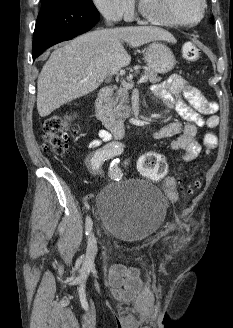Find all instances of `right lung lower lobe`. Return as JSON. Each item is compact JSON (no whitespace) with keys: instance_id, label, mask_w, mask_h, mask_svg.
Returning <instances> with one entry per match:
<instances>
[{"instance_id":"obj_1","label":"right lung lower lobe","mask_w":233,"mask_h":328,"mask_svg":"<svg viewBox=\"0 0 233 328\" xmlns=\"http://www.w3.org/2000/svg\"><path fill=\"white\" fill-rule=\"evenodd\" d=\"M98 20L96 7L42 2L34 30L33 59L52 45L88 31Z\"/></svg>"}]
</instances>
